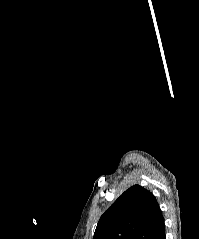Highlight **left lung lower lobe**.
I'll return each mask as SVG.
<instances>
[{"instance_id":"left-lung-lower-lobe-1","label":"left lung lower lobe","mask_w":199,"mask_h":239,"mask_svg":"<svg viewBox=\"0 0 199 239\" xmlns=\"http://www.w3.org/2000/svg\"><path fill=\"white\" fill-rule=\"evenodd\" d=\"M150 239H166L165 236V224H164V218L159 221L157 224L153 235L151 236Z\"/></svg>"}]
</instances>
